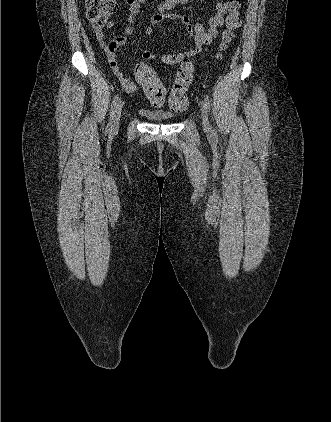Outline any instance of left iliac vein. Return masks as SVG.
I'll list each match as a JSON object with an SVG mask.
<instances>
[{
  "mask_svg": "<svg viewBox=\"0 0 331 422\" xmlns=\"http://www.w3.org/2000/svg\"><path fill=\"white\" fill-rule=\"evenodd\" d=\"M201 119H202L203 130L206 133L211 132V126H210V122L208 118V113L204 105L201 108Z\"/></svg>",
  "mask_w": 331,
  "mask_h": 422,
  "instance_id": "1",
  "label": "left iliac vein"
}]
</instances>
